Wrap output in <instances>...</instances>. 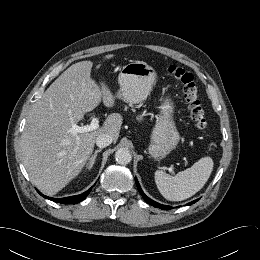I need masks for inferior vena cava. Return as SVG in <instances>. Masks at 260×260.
Wrapping results in <instances>:
<instances>
[{"label": "inferior vena cava", "mask_w": 260, "mask_h": 260, "mask_svg": "<svg viewBox=\"0 0 260 260\" xmlns=\"http://www.w3.org/2000/svg\"><path fill=\"white\" fill-rule=\"evenodd\" d=\"M113 141V138L111 135L107 134V133H103L100 134L97 138H96V145L100 148H104L109 146Z\"/></svg>", "instance_id": "602c4592"}]
</instances>
